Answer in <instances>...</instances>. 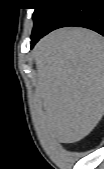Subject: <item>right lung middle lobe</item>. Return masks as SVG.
I'll list each match as a JSON object with an SVG mask.
<instances>
[{
    "instance_id": "dd1d6c3e",
    "label": "right lung middle lobe",
    "mask_w": 104,
    "mask_h": 169,
    "mask_svg": "<svg viewBox=\"0 0 104 169\" xmlns=\"http://www.w3.org/2000/svg\"><path fill=\"white\" fill-rule=\"evenodd\" d=\"M59 0H35V11L33 13L34 28L39 30L50 15L58 8Z\"/></svg>"
}]
</instances>
